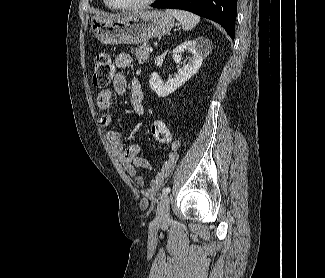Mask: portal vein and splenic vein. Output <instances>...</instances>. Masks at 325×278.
Masks as SVG:
<instances>
[{
	"label": "portal vein and splenic vein",
	"mask_w": 325,
	"mask_h": 278,
	"mask_svg": "<svg viewBox=\"0 0 325 278\" xmlns=\"http://www.w3.org/2000/svg\"><path fill=\"white\" fill-rule=\"evenodd\" d=\"M147 50H148V52H152L153 51V48L152 47H148Z\"/></svg>",
	"instance_id": "obj_1"
}]
</instances>
